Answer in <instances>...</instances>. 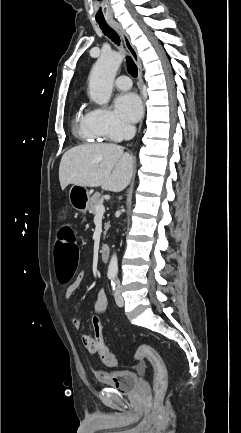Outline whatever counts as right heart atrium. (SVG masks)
Instances as JSON below:
<instances>
[{
  "mask_svg": "<svg viewBox=\"0 0 241 433\" xmlns=\"http://www.w3.org/2000/svg\"><path fill=\"white\" fill-rule=\"evenodd\" d=\"M91 121L96 131L106 139L116 140L130 131L127 124L104 107H96L91 110Z\"/></svg>",
  "mask_w": 241,
  "mask_h": 433,
  "instance_id": "obj_1",
  "label": "right heart atrium"
}]
</instances>
